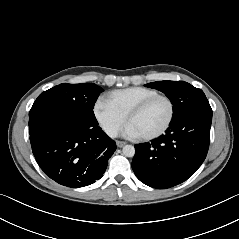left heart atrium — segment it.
Instances as JSON below:
<instances>
[{
  "label": "left heart atrium",
  "mask_w": 239,
  "mask_h": 239,
  "mask_svg": "<svg viewBox=\"0 0 239 239\" xmlns=\"http://www.w3.org/2000/svg\"><path fill=\"white\" fill-rule=\"evenodd\" d=\"M123 134H124V136L129 137V138H138V137H140V135L137 132V130L130 123H128L126 125V127L124 128Z\"/></svg>",
  "instance_id": "obj_1"
}]
</instances>
